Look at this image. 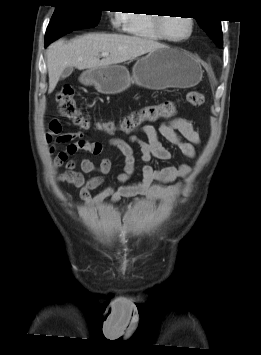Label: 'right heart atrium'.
<instances>
[{"label":"right heart atrium","mask_w":261,"mask_h":355,"mask_svg":"<svg viewBox=\"0 0 261 355\" xmlns=\"http://www.w3.org/2000/svg\"><path fill=\"white\" fill-rule=\"evenodd\" d=\"M111 21L116 29H126L127 27V17L123 12L113 14Z\"/></svg>","instance_id":"1"}]
</instances>
